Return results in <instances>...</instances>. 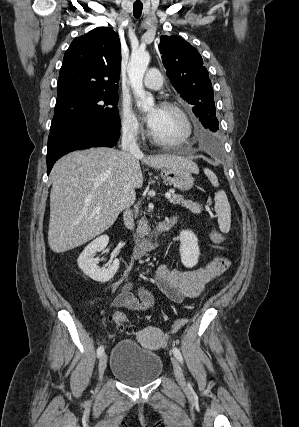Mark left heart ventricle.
Returning a JSON list of instances; mask_svg holds the SVG:
<instances>
[{
    "label": "left heart ventricle",
    "instance_id": "left-heart-ventricle-1",
    "mask_svg": "<svg viewBox=\"0 0 299 427\" xmlns=\"http://www.w3.org/2000/svg\"><path fill=\"white\" fill-rule=\"evenodd\" d=\"M151 129L156 136L162 139L179 138L185 130L180 116L175 111L162 107L157 108V117Z\"/></svg>",
    "mask_w": 299,
    "mask_h": 427
}]
</instances>
